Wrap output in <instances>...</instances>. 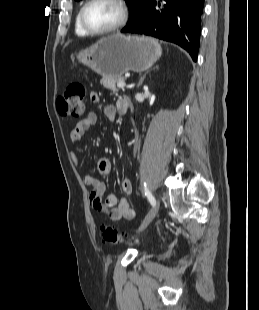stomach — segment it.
Returning <instances> with one entry per match:
<instances>
[{
    "mask_svg": "<svg viewBox=\"0 0 259 310\" xmlns=\"http://www.w3.org/2000/svg\"><path fill=\"white\" fill-rule=\"evenodd\" d=\"M161 56V47L149 37L114 34L77 54L80 63L104 77L148 70Z\"/></svg>",
    "mask_w": 259,
    "mask_h": 310,
    "instance_id": "1",
    "label": "stomach"
}]
</instances>
